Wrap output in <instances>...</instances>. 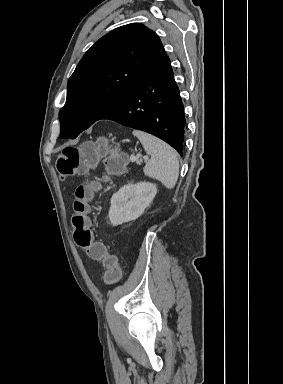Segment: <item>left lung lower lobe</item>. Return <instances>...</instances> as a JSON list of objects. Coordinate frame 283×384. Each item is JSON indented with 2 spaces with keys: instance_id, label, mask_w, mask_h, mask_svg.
<instances>
[{
  "instance_id": "1",
  "label": "left lung lower lobe",
  "mask_w": 283,
  "mask_h": 384,
  "mask_svg": "<svg viewBox=\"0 0 283 384\" xmlns=\"http://www.w3.org/2000/svg\"><path fill=\"white\" fill-rule=\"evenodd\" d=\"M101 119L148 132L182 155L185 115L169 57L165 56L117 107Z\"/></svg>"
}]
</instances>
